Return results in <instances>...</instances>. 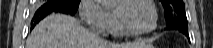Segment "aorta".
<instances>
[{"label":"aorta","mask_w":213,"mask_h":48,"mask_svg":"<svg viewBox=\"0 0 213 48\" xmlns=\"http://www.w3.org/2000/svg\"><path fill=\"white\" fill-rule=\"evenodd\" d=\"M102 5H108L114 2V0H99Z\"/></svg>","instance_id":"1"}]
</instances>
